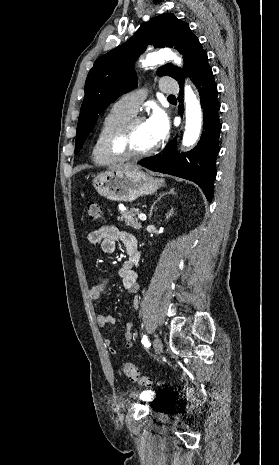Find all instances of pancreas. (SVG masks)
Returning <instances> with one entry per match:
<instances>
[{"label":"pancreas","mask_w":279,"mask_h":465,"mask_svg":"<svg viewBox=\"0 0 279 465\" xmlns=\"http://www.w3.org/2000/svg\"><path fill=\"white\" fill-rule=\"evenodd\" d=\"M120 216L118 217L119 221H124L127 226H130L134 229H141L142 225L138 222L136 218L137 211L135 210H123L120 212Z\"/></svg>","instance_id":"pancreas-1"}]
</instances>
